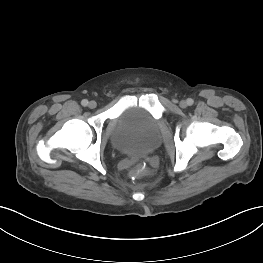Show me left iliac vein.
<instances>
[{"mask_svg": "<svg viewBox=\"0 0 263 263\" xmlns=\"http://www.w3.org/2000/svg\"><path fill=\"white\" fill-rule=\"evenodd\" d=\"M186 106H187V102L184 101V100H182V101L180 102V107H181V108H185Z\"/></svg>", "mask_w": 263, "mask_h": 263, "instance_id": "1", "label": "left iliac vein"}]
</instances>
